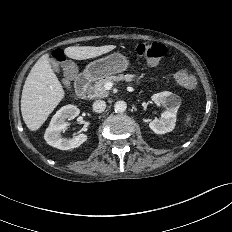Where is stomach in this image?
Listing matches in <instances>:
<instances>
[{
    "instance_id": "0dacf381",
    "label": "stomach",
    "mask_w": 232,
    "mask_h": 232,
    "mask_svg": "<svg viewBox=\"0 0 232 232\" xmlns=\"http://www.w3.org/2000/svg\"><path fill=\"white\" fill-rule=\"evenodd\" d=\"M128 67V60L121 53H113L90 62L85 68V75L91 80L123 72Z\"/></svg>"
}]
</instances>
